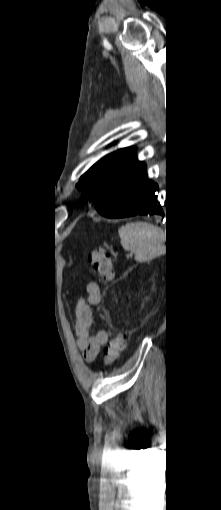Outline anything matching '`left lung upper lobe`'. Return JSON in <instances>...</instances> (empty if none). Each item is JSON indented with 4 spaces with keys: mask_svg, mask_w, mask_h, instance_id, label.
Segmentation results:
<instances>
[{
    "mask_svg": "<svg viewBox=\"0 0 221 510\" xmlns=\"http://www.w3.org/2000/svg\"><path fill=\"white\" fill-rule=\"evenodd\" d=\"M143 170L134 148H123L96 162L79 180L83 201L90 200L98 210L107 206Z\"/></svg>",
    "mask_w": 221,
    "mask_h": 510,
    "instance_id": "1",
    "label": "left lung upper lobe"
}]
</instances>
